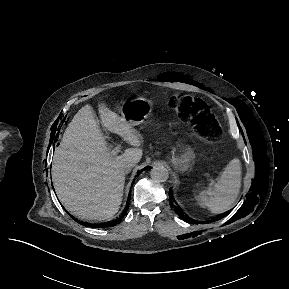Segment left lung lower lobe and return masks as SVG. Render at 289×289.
I'll use <instances>...</instances> for the list:
<instances>
[{
    "label": "left lung lower lobe",
    "instance_id": "obj_1",
    "mask_svg": "<svg viewBox=\"0 0 289 289\" xmlns=\"http://www.w3.org/2000/svg\"><path fill=\"white\" fill-rule=\"evenodd\" d=\"M169 202H170V205L171 207H173L176 211V213L185 221L189 222V223H192V224H196V223H205V222H199V221H196V220H193L191 218H189L187 215H184L183 214V211L181 210L180 206L176 203V201L174 200L173 198V195L171 193V191L169 190ZM220 218H216L214 220H211V221H207L208 223L209 222H212V221H216V220H219Z\"/></svg>",
    "mask_w": 289,
    "mask_h": 289
}]
</instances>
